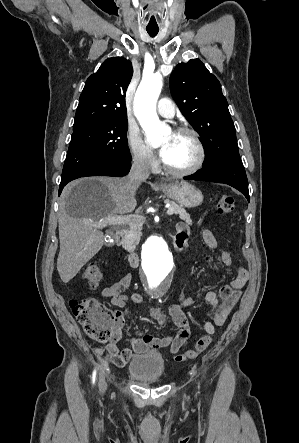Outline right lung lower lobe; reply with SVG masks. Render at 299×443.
I'll return each mask as SVG.
<instances>
[{"label": "right lung lower lobe", "mask_w": 299, "mask_h": 443, "mask_svg": "<svg viewBox=\"0 0 299 443\" xmlns=\"http://www.w3.org/2000/svg\"><path fill=\"white\" fill-rule=\"evenodd\" d=\"M131 160H118V161H110V162H103L100 164H97L95 166H92L90 168H87L70 178H68L65 181H61L60 188H59V195L62 192V189L64 186L77 178L80 177H86V176H113V177H121L128 174L130 168H131Z\"/></svg>", "instance_id": "1"}]
</instances>
